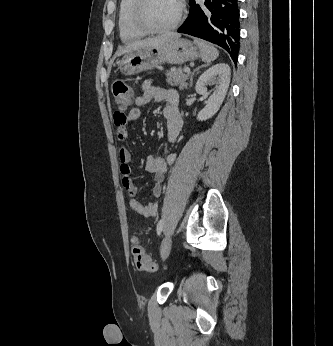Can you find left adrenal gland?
<instances>
[{
  "instance_id": "a2214340",
  "label": "left adrenal gland",
  "mask_w": 333,
  "mask_h": 346,
  "mask_svg": "<svg viewBox=\"0 0 333 346\" xmlns=\"http://www.w3.org/2000/svg\"><path fill=\"white\" fill-rule=\"evenodd\" d=\"M201 67H204V65H201V66L197 67V68L194 69L193 72L191 73V76H190V86H192L194 73H195L196 71H198Z\"/></svg>"
}]
</instances>
